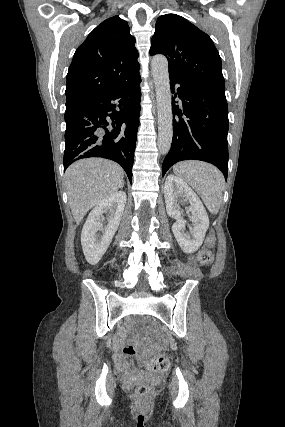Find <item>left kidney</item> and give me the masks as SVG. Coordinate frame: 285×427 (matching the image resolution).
Segmentation results:
<instances>
[{"instance_id": "obj_1", "label": "left kidney", "mask_w": 285, "mask_h": 427, "mask_svg": "<svg viewBox=\"0 0 285 427\" xmlns=\"http://www.w3.org/2000/svg\"><path fill=\"white\" fill-rule=\"evenodd\" d=\"M164 196L167 214L176 219L172 226L173 234L185 253H194L203 243L205 233L209 227L207 212L197 194L180 178L170 174L164 186ZM179 198H185L190 206L191 221L194 223L191 233H185V223L179 207Z\"/></svg>"}]
</instances>
